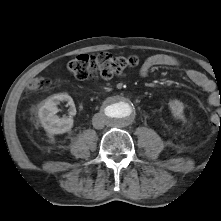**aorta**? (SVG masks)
<instances>
[{"label": "aorta", "instance_id": "762f6f07", "mask_svg": "<svg viewBox=\"0 0 221 221\" xmlns=\"http://www.w3.org/2000/svg\"><path fill=\"white\" fill-rule=\"evenodd\" d=\"M103 112L108 124L115 127H124L132 122L135 107L126 98L118 97L108 101Z\"/></svg>", "mask_w": 221, "mask_h": 221}]
</instances>
